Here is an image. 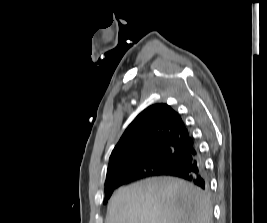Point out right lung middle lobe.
<instances>
[{"label":"right lung middle lobe","instance_id":"obj_1","mask_svg":"<svg viewBox=\"0 0 267 223\" xmlns=\"http://www.w3.org/2000/svg\"><path fill=\"white\" fill-rule=\"evenodd\" d=\"M184 149L176 145H167L158 148L149 157L134 160L127 165V172L133 170L147 171L151 173H162L171 167L175 161L184 153ZM112 193H106L104 203L107 202Z\"/></svg>","mask_w":267,"mask_h":223}]
</instances>
